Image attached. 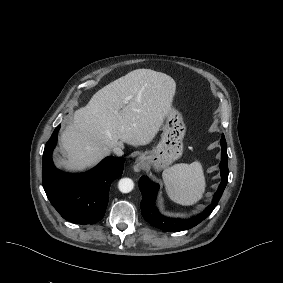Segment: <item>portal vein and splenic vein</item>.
Wrapping results in <instances>:
<instances>
[{
	"instance_id": "portal-vein-and-splenic-vein-1",
	"label": "portal vein and splenic vein",
	"mask_w": 283,
	"mask_h": 283,
	"mask_svg": "<svg viewBox=\"0 0 283 283\" xmlns=\"http://www.w3.org/2000/svg\"><path fill=\"white\" fill-rule=\"evenodd\" d=\"M132 99V96L130 95V96H127V97H125V99H124V103L125 104H127L128 102H129V100H131Z\"/></svg>"
}]
</instances>
